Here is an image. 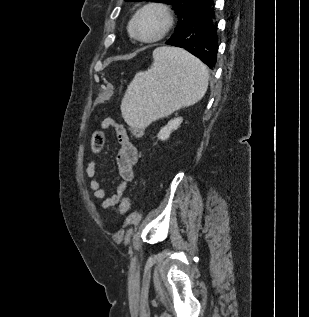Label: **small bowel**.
Here are the masks:
<instances>
[{"instance_id":"small-bowel-1","label":"small bowel","mask_w":309,"mask_h":317,"mask_svg":"<svg viewBox=\"0 0 309 317\" xmlns=\"http://www.w3.org/2000/svg\"><path fill=\"white\" fill-rule=\"evenodd\" d=\"M103 129H112L120 145L116 156V163L119 174V183L115 193L107 196L106 190L96 177L98 164L91 161L86 167V176L90 179V189L94 198L101 200V206L107 210H116L121 203L123 195L127 189L128 183L134 179V168L138 159L136 147L130 141L129 135L123 124L107 118L102 122Z\"/></svg>"}]
</instances>
